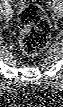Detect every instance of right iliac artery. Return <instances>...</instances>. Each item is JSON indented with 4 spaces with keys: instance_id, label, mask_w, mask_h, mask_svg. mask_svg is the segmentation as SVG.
I'll use <instances>...</instances> for the list:
<instances>
[{
    "instance_id": "82829eb1",
    "label": "right iliac artery",
    "mask_w": 63,
    "mask_h": 107,
    "mask_svg": "<svg viewBox=\"0 0 63 107\" xmlns=\"http://www.w3.org/2000/svg\"><path fill=\"white\" fill-rule=\"evenodd\" d=\"M2 4L7 12H12L11 7L6 0L2 1Z\"/></svg>"
}]
</instances>
